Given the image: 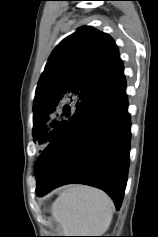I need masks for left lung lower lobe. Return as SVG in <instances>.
Listing matches in <instances>:
<instances>
[{"instance_id": "left-lung-lower-lobe-1", "label": "left lung lower lobe", "mask_w": 158, "mask_h": 237, "mask_svg": "<svg viewBox=\"0 0 158 237\" xmlns=\"http://www.w3.org/2000/svg\"><path fill=\"white\" fill-rule=\"evenodd\" d=\"M127 107L123 79L79 108L39 157L36 194L67 183L87 184L107 192L119 209L129 168Z\"/></svg>"}]
</instances>
